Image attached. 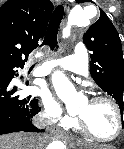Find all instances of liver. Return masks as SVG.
<instances>
[{
	"instance_id": "obj_1",
	"label": "liver",
	"mask_w": 124,
	"mask_h": 149,
	"mask_svg": "<svg viewBox=\"0 0 124 149\" xmlns=\"http://www.w3.org/2000/svg\"><path fill=\"white\" fill-rule=\"evenodd\" d=\"M30 134L14 133L0 136V149H28L30 142ZM45 140L40 137L37 149L44 145Z\"/></svg>"
}]
</instances>
